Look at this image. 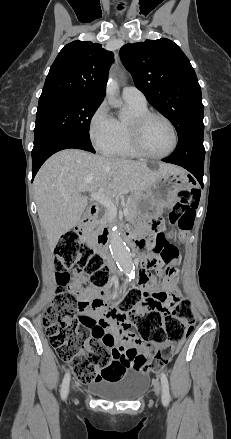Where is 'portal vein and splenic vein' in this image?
Here are the masks:
<instances>
[{"mask_svg": "<svg viewBox=\"0 0 231 439\" xmlns=\"http://www.w3.org/2000/svg\"><path fill=\"white\" fill-rule=\"evenodd\" d=\"M91 199L102 204L108 210V212L111 216L117 215V206L113 203L111 198H109L108 196H106L103 193V188L99 189L98 192H96V193H92ZM123 213H124V215H127L128 208H124Z\"/></svg>", "mask_w": 231, "mask_h": 439, "instance_id": "obj_1", "label": "portal vein and splenic vein"}]
</instances>
